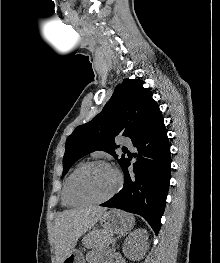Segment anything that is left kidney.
<instances>
[{
    "instance_id": "1",
    "label": "left kidney",
    "mask_w": 220,
    "mask_h": 263,
    "mask_svg": "<svg viewBox=\"0 0 220 263\" xmlns=\"http://www.w3.org/2000/svg\"><path fill=\"white\" fill-rule=\"evenodd\" d=\"M148 232L140 228L132 232L125 240L124 255L131 260H140L145 255L148 245Z\"/></svg>"
}]
</instances>
